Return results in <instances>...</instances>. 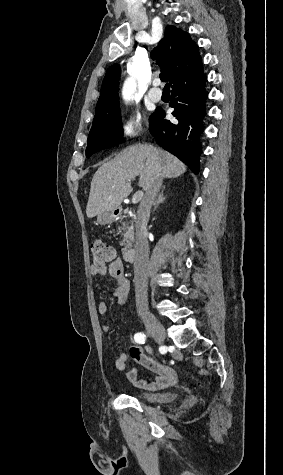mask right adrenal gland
<instances>
[{"label": "right adrenal gland", "mask_w": 283, "mask_h": 475, "mask_svg": "<svg viewBox=\"0 0 283 475\" xmlns=\"http://www.w3.org/2000/svg\"><path fill=\"white\" fill-rule=\"evenodd\" d=\"M166 186H163L162 188V192L161 194H159L158 196V200H156V202H154L153 206H154V210H156V208H158L159 204H163L165 198H164V190H165Z\"/></svg>", "instance_id": "2a0ac1e0"}]
</instances>
